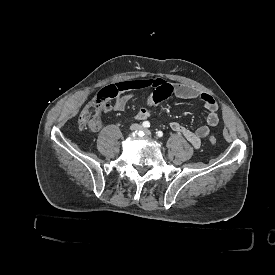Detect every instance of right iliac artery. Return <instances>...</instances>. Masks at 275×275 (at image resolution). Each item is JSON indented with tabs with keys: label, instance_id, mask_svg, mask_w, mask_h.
I'll list each match as a JSON object with an SVG mask.
<instances>
[{
	"label": "right iliac artery",
	"instance_id": "obj_1",
	"mask_svg": "<svg viewBox=\"0 0 275 275\" xmlns=\"http://www.w3.org/2000/svg\"><path fill=\"white\" fill-rule=\"evenodd\" d=\"M142 126H143L144 128H148V127H150V123H149L148 121H144V122L142 123Z\"/></svg>",
	"mask_w": 275,
	"mask_h": 275
}]
</instances>
